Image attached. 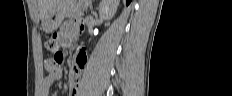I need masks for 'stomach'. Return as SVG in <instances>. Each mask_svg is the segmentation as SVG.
I'll return each mask as SVG.
<instances>
[{
  "mask_svg": "<svg viewBox=\"0 0 232 96\" xmlns=\"http://www.w3.org/2000/svg\"><path fill=\"white\" fill-rule=\"evenodd\" d=\"M75 2V0H55L42 21L44 31L51 33L56 30L62 23L66 12L74 6Z\"/></svg>",
  "mask_w": 232,
  "mask_h": 96,
  "instance_id": "stomach-1",
  "label": "stomach"
}]
</instances>
